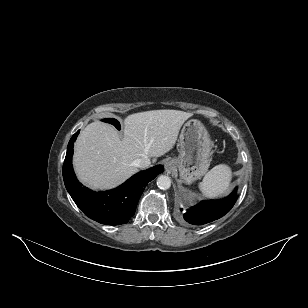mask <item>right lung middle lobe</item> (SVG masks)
<instances>
[{"mask_svg":"<svg viewBox=\"0 0 308 308\" xmlns=\"http://www.w3.org/2000/svg\"><path fill=\"white\" fill-rule=\"evenodd\" d=\"M104 122L107 123H111L112 125H114L118 130H120V124L116 119L113 118H107V119H103Z\"/></svg>","mask_w":308,"mask_h":308,"instance_id":"right-lung-middle-lobe-1","label":"right lung middle lobe"}]
</instances>
